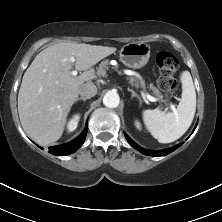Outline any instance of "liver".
Instances as JSON below:
<instances>
[{
  "label": "liver",
  "instance_id": "1",
  "mask_svg": "<svg viewBox=\"0 0 222 222\" xmlns=\"http://www.w3.org/2000/svg\"><path fill=\"white\" fill-rule=\"evenodd\" d=\"M115 51V47L73 42L41 51L24 73L18 94L19 118L26 134L40 145L60 139L80 88L95 78L93 66ZM73 66L84 72L72 76Z\"/></svg>",
  "mask_w": 222,
  "mask_h": 222
}]
</instances>
